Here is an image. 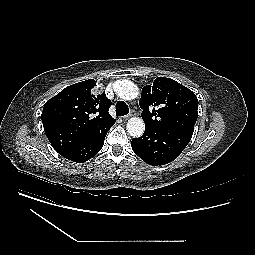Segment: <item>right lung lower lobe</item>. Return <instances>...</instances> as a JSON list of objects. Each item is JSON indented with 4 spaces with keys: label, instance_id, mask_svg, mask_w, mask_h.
Listing matches in <instances>:
<instances>
[{
    "label": "right lung lower lobe",
    "instance_id": "1",
    "mask_svg": "<svg viewBox=\"0 0 255 255\" xmlns=\"http://www.w3.org/2000/svg\"><path fill=\"white\" fill-rule=\"evenodd\" d=\"M109 129L96 131L80 141L69 153L63 157L76 163H83L94 157L103 147L104 139Z\"/></svg>",
    "mask_w": 255,
    "mask_h": 255
}]
</instances>
